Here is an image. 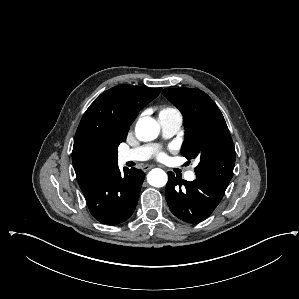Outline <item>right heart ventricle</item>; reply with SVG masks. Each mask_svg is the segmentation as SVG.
<instances>
[{"mask_svg": "<svg viewBox=\"0 0 299 299\" xmlns=\"http://www.w3.org/2000/svg\"><path fill=\"white\" fill-rule=\"evenodd\" d=\"M172 111H177V110L172 107H167V108H164L163 110H161V112H172Z\"/></svg>", "mask_w": 299, "mask_h": 299, "instance_id": "e07e8e85", "label": "right heart ventricle"}]
</instances>
